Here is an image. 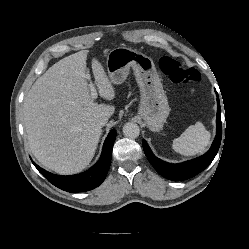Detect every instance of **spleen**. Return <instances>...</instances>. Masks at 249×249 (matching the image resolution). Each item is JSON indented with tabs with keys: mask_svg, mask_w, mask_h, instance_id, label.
<instances>
[{
	"mask_svg": "<svg viewBox=\"0 0 249 249\" xmlns=\"http://www.w3.org/2000/svg\"><path fill=\"white\" fill-rule=\"evenodd\" d=\"M210 136L204 125L197 122L173 140L172 148L182 155L193 156L204 152L210 142Z\"/></svg>",
	"mask_w": 249,
	"mask_h": 249,
	"instance_id": "3e777b00",
	"label": "spleen"
}]
</instances>
